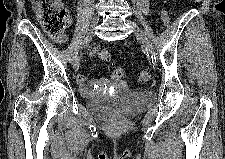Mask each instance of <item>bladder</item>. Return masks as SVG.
Here are the masks:
<instances>
[{
	"mask_svg": "<svg viewBox=\"0 0 225 159\" xmlns=\"http://www.w3.org/2000/svg\"><path fill=\"white\" fill-rule=\"evenodd\" d=\"M154 102V97L147 92L125 90L114 96H97L87 100L86 107L94 115L111 118L117 114L133 115Z\"/></svg>",
	"mask_w": 225,
	"mask_h": 159,
	"instance_id": "1",
	"label": "bladder"
}]
</instances>
